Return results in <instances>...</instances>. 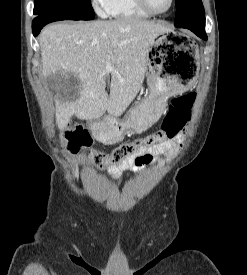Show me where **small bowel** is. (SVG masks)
Instances as JSON below:
<instances>
[{
    "instance_id": "c3829d8e",
    "label": "small bowel",
    "mask_w": 247,
    "mask_h": 275,
    "mask_svg": "<svg viewBox=\"0 0 247 275\" xmlns=\"http://www.w3.org/2000/svg\"><path fill=\"white\" fill-rule=\"evenodd\" d=\"M183 135L179 134L176 138L165 141L158 145L144 148L135 157L129 158L118 164H110L108 173L114 179H118L126 170L139 171L154 160V156L162 153L172 154L179 146Z\"/></svg>"
}]
</instances>
